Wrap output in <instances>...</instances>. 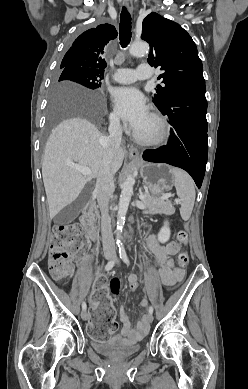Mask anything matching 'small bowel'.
Instances as JSON below:
<instances>
[{
    "label": "small bowel",
    "instance_id": "c3829d8e",
    "mask_svg": "<svg viewBox=\"0 0 248 389\" xmlns=\"http://www.w3.org/2000/svg\"><path fill=\"white\" fill-rule=\"evenodd\" d=\"M145 247L148 252L154 255L160 264L157 273L166 286H175L183 279L184 273L182 270L175 268L173 257L179 251L180 245L176 242H170L166 245H161L154 234L150 235L145 242ZM138 278L137 275L131 274L127 282L134 281ZM111 285H108L107 290L111 292L112 296L117 297L120 293L119 277L113 276L111 278ZM147 300L141 301V306H146ZM120 322L122 323V331L117 338H123L131 342H136L142 339L148 331L146 316H143L135 327L132 326L129 315L124 307L120 309ZM108 333H113L110 331Z\"/></svg>",
    "mask_w": 248,
    "mask_h": 389
}]
</instances>
